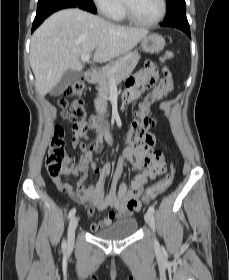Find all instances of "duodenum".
Listing matches in <instances>:
<instances>
[{
    "label": "duodenum",
    "mask_w": 229,
    "mask_h": 280,
    "mask_svg": "<svg viewBox=\"0 0 229 280\" xmlns=\"http://www.w3.org/2000/svg\"><path fill=\"white\" fill-rule=\"evenodd\" d=\"M84 77H85L86 81H88L90 83H93V82L97 81L98 74H97V72H95L93 70H87L84 74ZM97 121L101 125L104 122V118L103 117H98Z\"/></svg>",
    "instance_id": "duodenum-1"
}]
</instances>
